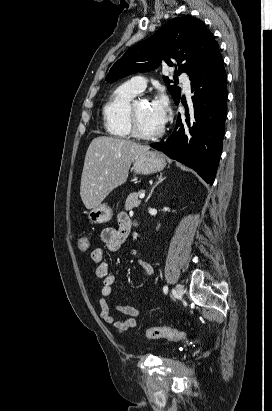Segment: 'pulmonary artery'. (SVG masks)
Here are the masks:
<instances>
[{
  "label": "pulmonary artery",
  "mask_w": 272,
  "mask_h": 411,
  "mask_svg": "<svg viewBox=\"0 0 272 411\" xmlns=\"http://www.w3.org/2000/svg\"><path fill=\"white\" fill-rule=\"evenodd\" d=\"M180 79L184 82V88L185 91L187 93H189L190 91V85H189V81H188V75L187 73L181 72L180 74ZM130 85L138 92H141L145 89L146 85H147V81L145 78L141 77V76H135L133 77L130 81H129Z\"/></svg>",
  "instance_id": "1"
}]
</instances>
